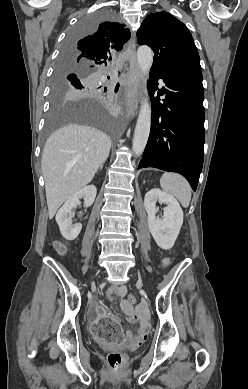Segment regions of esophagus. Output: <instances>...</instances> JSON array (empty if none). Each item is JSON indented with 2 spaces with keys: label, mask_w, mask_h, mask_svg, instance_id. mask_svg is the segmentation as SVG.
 Instances as JSON below:
<instances>
[{
  "label": "esophagus",
  "mask_w": 248,
  "mask_h": 389,
  "mask_svg": "<svg viewBox=\"0 0 248 389\" xmlns=\"http://www.w3.org/2000/svg\"><path fill=\"white\" fill-rule=\"evenodd\" d=\"M135 49H136V44H135V38L133 36L127 49L129 55L133 59H135ZM140 85H141V76L137 67H134L132 70L131 82L126 89V96H125V113H126L127 120L134 117L137 113L139 98H140Z\"/></svg>",
  "instance_id": "esophagus-1"
}]
</instances>
